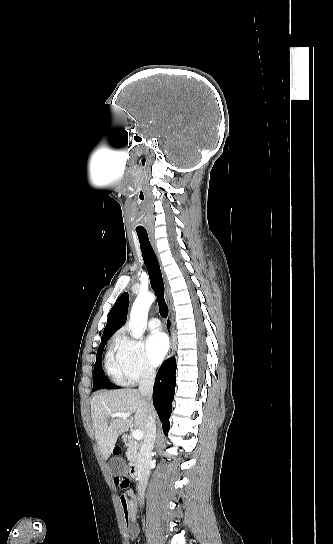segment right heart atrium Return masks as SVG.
Returning <instances> with one entry per match:
<instances>
[{
  "label": "right heart atrium",
  "mask_w": 333,
  "mask_h": 544,
  "mask_svg": "<svg viewBox=\"0 0 333 544\" xmlns=\"http://www.w3.org/2000/svg\"><path fill=\"white\" fill-rule=\"evenodd\" d=\"M115 345L120 371L126 383L135 384L155 376V369L147 360L139 341L120 332L115 337Z\"/></svg>",
  "instance_id": "right-heart-atrium-1"
}]
</instances>
